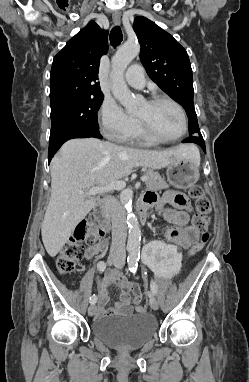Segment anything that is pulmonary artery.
I'll use <instances>...</instances> for the list:
<instances>
[{
    "label": "pulmonary artery",
    "mask_w": 249,
    "mask_h": 382,
    "mask_svg": "<svg viewBox=\"0 0 249 382\" xmlns=\"http://www.w3.org/2000/svg\"><path fill=\"white\" fill-rule=\"evenodd\" d=\"M124 79L132 87H144L146 83L144 68L140 64H132L125 72Z\"/></svg>",
    "instance_id": "e3ab8cb5"
}]
</instances>
